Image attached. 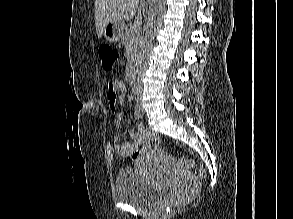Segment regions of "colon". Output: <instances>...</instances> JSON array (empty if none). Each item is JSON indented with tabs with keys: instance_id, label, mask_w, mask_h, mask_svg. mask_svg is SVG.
<instances>
[{
	"instance_id": "5ec220e1",
	"label": "colon",
	"mask_w": 293,
	"mask_h": 219,
	"mask_svg": "<svg viewBox=\"0 0 293 219\" xmlns=\"http://www.w3.org/2000/svg\"><path fill=\"white\" fill-rule=\"evenodd\" d=\"M100 58L103 68L106 71H112L118 63L119 54L115 49L106 45L100 49ZM159 144V135L154 132H148L143 149L134 151L132 154V159H137L143 152L150 151L156 148ZM178 164L181 168H184L187 171L195 172L200 179H205L207 177L205 168L196 165L193 160L187 157H180Z\"/></svg>"
}]
</instances>
